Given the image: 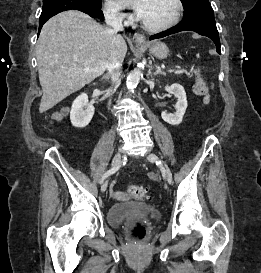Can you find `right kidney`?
Wrapping results in <instances>:
<instances>
[{
	"label": "right kidney",
	"instance_id": "1",
	"mask_svg": "<svg viewBox=\"0 0 261 273\" xmlns=\"http://www.w3.org/2000/svg\"><path fill=\"white\" fill-rule=\"evenodd\" d=\"M94 111V106L88 101V95L86 93L80 94L71 107L70 120L72 125L77 128L86 127L90 123Z\"/></svg>",
	"mask_w": 261,
	"mask_h": 273
}]
</instances>
